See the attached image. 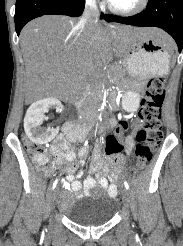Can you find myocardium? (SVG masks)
<instances>
[{"label": "myocardium", "instance_id": "obj_1", "mask_svg": "<svg viewBox=\"0 0 183 246\" xmlns=\"http://www.w3.org/2000/svg\"><path fill=\"white\" fill-rule=\"evenodd\" d=\"M148 2L149 0H138V2L133 7L121 8L114 5L111 1H108V8L115 14L122 16H131L142 12L146 8Z\"/></svg>", "mask_w": 183, "mask_h": 246}]
</instances>
